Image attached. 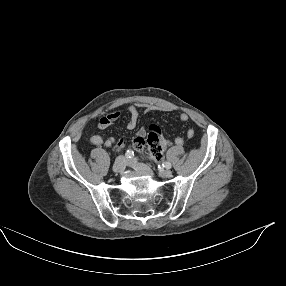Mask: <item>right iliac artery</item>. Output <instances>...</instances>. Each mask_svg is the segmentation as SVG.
Instances as JSON below:
<instances>
[{
	"label": "right iliac artery",
	"instance_id": "82829eb1",
	"mask_svg": "<svg viewBox=\"0 0 286 286\" xmlns=\"http://www.w3.org/2000/svg\"><path fill=\"white\" fill-rule=\"evenodd\" d=\"M125 156L127 159H132L134 157V152L131 150H127V152L125 153Z\"/></svg>",
	"mask_w": 286,
	"mask_h": 286
}]
</instances>
